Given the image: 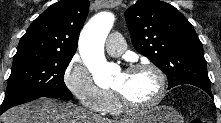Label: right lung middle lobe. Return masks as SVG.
<instances>
[{
  "label": "right lung middle lobe",
  "mask_w": 221,
  "mask_h": 123,
  "mask_svg": "<svg viewBox=\"0 0 221 123\" xmlns=\"http://www.w3.org/2000/svg\"><path fill=\"white\" fill-rule=\"evenodd\" d=\"M73 56L38 50L17 51L1 110L47 95L72 98L64 83V73Z\"/></svg>",
  "instance_id": "right-lung-middle-lobe-1"
}]
</instances>
